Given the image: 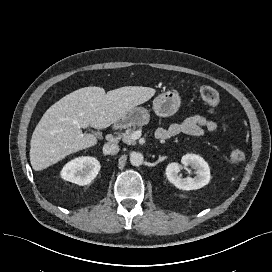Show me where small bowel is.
<instances>
[{"mask_svg": "<svg viewBox=\"0 0 272 272\" xmlns=\"http://www.w3.org/2000/svg\"><path fill=\"white\" fill-rule=\"evenodd\" d=\"M221 126L225 131L228 130V126L223 116L220 123L203 115H193L182 122L173 123L167 128L157 129L155 136L159 140H167L178 134L184 133L191 136H202L206 131H216Z\"/></svg>", "mask_w": 272, "mask_h": 272, "instance_id": "c3829d8e", "label": "small bowel"}]
</instances>
